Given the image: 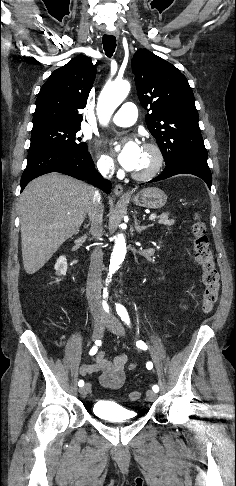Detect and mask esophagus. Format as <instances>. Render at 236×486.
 <instances>
[{"label": "esophagus", "mask_w": 236, "mask_h": 486, "mask_svg": "<svg viewBox=\"0 0 236 486\" xmlns=\"http://www.w3.org/2000/svg\"><path fill=\"white\" fill-rule=\"evenodd\" d=\"M108 34L109 35H113L115 36L116 38L119 37V32L117 30H110L108 31ZM114 193L115 195L117 196H127V194L124 192V189L123 187L120 185V184H117L115 187H114Z\"/></svg>", "instance_id": "1"}]
</instances>
